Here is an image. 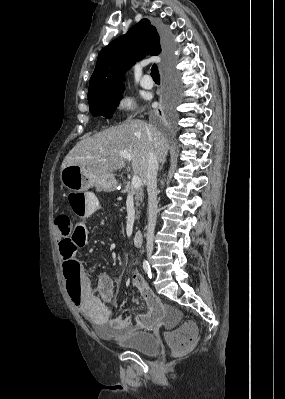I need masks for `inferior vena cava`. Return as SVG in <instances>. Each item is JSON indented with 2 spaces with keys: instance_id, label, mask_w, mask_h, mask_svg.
<instances>
[{
  "instance_id": "602c4592",
  "label": "inferior vena cava",
  "mask_w": 285,
  "mask_h": 399,
  "mask_svg": "<svg viewBox=\"0 0 285 399\" xmlns=\"http://www.w3.org/2000/svg\"><path fill=\"white\" fill-rule=\"evenodd\" d=\"M159 163L157 156L151 150L148 155L146 185L148 193V229L146 248L148 252L153 250L154 230L157 218V172Z\"/></svg>"
}]
</instances>
